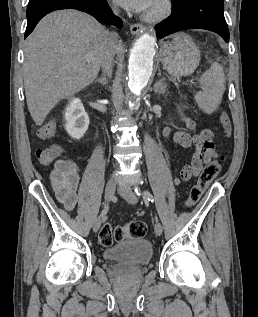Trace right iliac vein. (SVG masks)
Wrapping results in <instances>:
<instances>
[{
    "mask_svg": "<svg viewBox=\"0 0 258 317\" xmlns=\"http://www.w3.org/2000/svg\"><path fill=\"white\" fill-rule=\"evenodd\" d=\"M117 181L115 179L109 180L105 187L104 195L107 199H110L114 196V192L116 190ZM105 203H108V200H105ZM101 218H96V220L93 223V229L94 232H98L101 226Z\"/></svg>",
    "mask_w": 258,
    "mask_h": 317,
    "instance_id": "right-iliac-vein-1",
    "label": "right iliac vein"
}]
</instances>
